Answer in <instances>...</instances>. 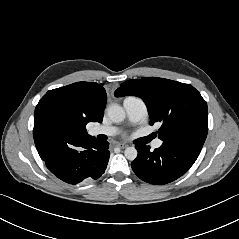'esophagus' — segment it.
<instances>
[{
  "label": "esophagus",
  "mask_w": 239,
  "mask_h": 239,
  "mask_svg": "<svg viewBox=\"0 0 239 239\" xmlns=\"http://www.w3.org/2000/svg\"><path fill=\"white\" fill-rule=\"evenodd\" d=\"M116 146L119 147V148H121V149H124V148H126L128 145L125 144V143H118Z\"/></svg>",
  "instance_id": "obj_1"
}]
</instances>
